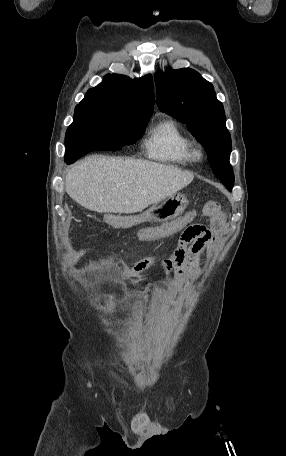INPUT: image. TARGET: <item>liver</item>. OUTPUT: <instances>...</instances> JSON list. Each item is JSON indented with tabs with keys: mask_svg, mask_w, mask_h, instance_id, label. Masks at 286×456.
<instances>
[{
	"mask_svg": "<svg viewBox=\"0 0 286 456\" xmlns=\"http://www.w3.org/2000/svg\"><path fill=\"white\" fill-rule=\"evenodd\" d=\"M190 172L161 163L94 155L67 173V194L100 213H135L189 185Z\"/></svg>",
	"mask_w": 286,
	"mask_h": 456,
	"instance_id": "liver-1",
	"label": "liver"
}]
</instances>
